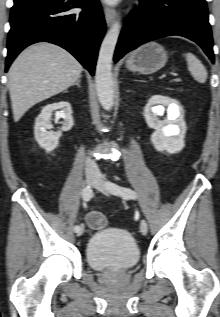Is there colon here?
<instances>
[{
	"mask_svg": "<svg viewBox=\"0 0 220 317\" xmlns=\"http://www.w3.org/2000/svg\"><path fill=\"white\" fill-rule=\"evenodd\" d=\"M87 225L93 230H99L107 225V219L99 212H91L87 216Z\"/></svg>",
	"mask_w": 220,
	"mask_h": 317,
	"instance_id": "1",
	"label": "colon"
}]
</instances>
